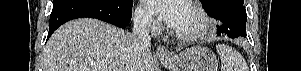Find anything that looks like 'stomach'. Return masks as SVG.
I'll list each match as a JSON object with an SVG mask.
<instances>
[{
	"instance_id": "0dacf381",
	"label": "stomach",
	"mask_w": 301,
	"mask_h": 71,
	"mask_svg": "<svg viewBox=\"0 0 301 71\" xmlns=\"http://www.w3.org/2000/svg\"><path fill=\"white\" fill-rule=\"evenodd\" d=\"M170 71H217L218 61L208 48L195 46L172 58L160 59Z\"/></svg>"
}]
</instances>
